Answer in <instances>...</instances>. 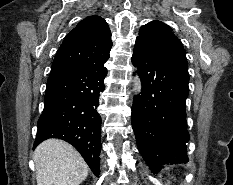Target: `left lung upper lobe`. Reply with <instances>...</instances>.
I'll use <instances>...</instances> for the list:
<instances>
[{"label":"left lung upper lobe","mask_w":233,"mask_h":185,"mask_svg":"<svg viewBox=\"0 0 233 185\" xmlns=\"http://www.w3.org/2000/svg\"><path fill=\"white\" fill-rule=\"evenodd\" d=\"M136 40L159 53L187 62L182 43L172 33V29L160 21L155 20L142 26Z\"/></svg>","instance_id":"left-lung-upper-lobe-1"}]
</instances>
